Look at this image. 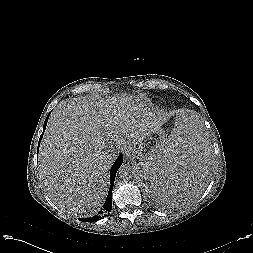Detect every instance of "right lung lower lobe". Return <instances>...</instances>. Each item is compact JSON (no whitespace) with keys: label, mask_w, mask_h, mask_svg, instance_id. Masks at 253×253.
Segmentation results:
<instances>
[{"label":"right lung lower lobe","mask_w":253,"mask_h":253,"mask_svg":"<svg viewBox=\"0 0 253 253\" xmlns=\"http://www.w3.org/2000/svg\"><path fill=\"white\" fill-rule=\"evenodd\" d=\"M48 118H49V115L47 116V118L44 122L43 132L40 137V140H41L43 133L46 129ZM40 140H39V142H40ZM38 149H39V144H38ZM122 163H123V156H122V154H120L110 170V189L108 192L107 199L102 207V210L100 212H98V215H96L94 217L80 218L81 221H85V222L97 221L100 219V217H101L100 215H103V214L111 211V209H112V197L111 196H112L113 184H114L116 173H117L119 167L122 165Z\"/></svg>","instance_id":"obj_1"}]
</instances>
